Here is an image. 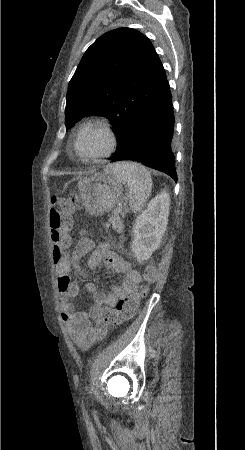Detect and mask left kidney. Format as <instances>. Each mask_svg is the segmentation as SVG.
<instances>
[{
    "instance_id": "5707ae66",
    "label": "left kidney",
    "mask_w": 245,
    "mask_h": 450,
    "mask_svg": "<svg viewBox=\"0 0 245 450\" xmlns=\"http://www.w3.org/2000/svg\"><path fill=\"white\" fill-rule=\"evenodd\" d=\"M170 197L166 192L155 196L133 225L131 249L139 263L158 249L168 224Z\"/></svg>"
}]
</instances>
